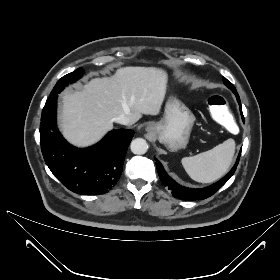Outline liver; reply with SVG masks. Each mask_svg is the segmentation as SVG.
Masks as SVG:
<instances>
[{
  "mask_svg": "<svg viewBox=\"0 0 280 280\" xmlns=\"http://www.w3.org/2000/svg\"><path fill=\"white\" fill-rule=\"evenodd\" d=\"M166 90V73L153 67H124L112 77L92 79L81 90L62 96V133L75 146L95 144L121 114L130 124L142 114L158 115Z\"/></svg>",
  "mask_w": 280,
  "mask_h": 280,
  "instance_id": "6515ba94",
  "label": "liver"
}]
</instances>
